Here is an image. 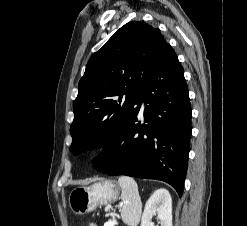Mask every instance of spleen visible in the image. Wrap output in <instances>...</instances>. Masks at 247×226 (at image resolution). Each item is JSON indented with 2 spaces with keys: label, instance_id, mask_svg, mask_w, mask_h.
Listing matches in <instances>:
<instances>
[{
  "label": "spleen",
  "instance_id": "obj_1",
  "mask_svg": "<svg viewBox=\"0 0 247 226\" xmlns=\"http://www.w3.org/2000/svg\"><path fill=\"white\" fill-rule=\"evenodd\" d=\"M118 183L121 187V199L124 202L121 209L122 219L128 225L134 226L138 222L142 207L137 183L127 176L119 177Z\"/></svg>",
  "mask_w": 247,
  "mask_h": 226
}]
</instances>
